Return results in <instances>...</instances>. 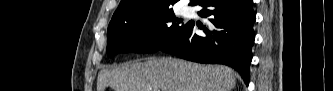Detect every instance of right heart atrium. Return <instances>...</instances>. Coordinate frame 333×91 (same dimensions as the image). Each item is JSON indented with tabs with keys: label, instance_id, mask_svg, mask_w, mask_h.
<instances>
[{
	"label": "right heart atrium",
	"instance_id": "d8ad5b80",
	"mask_svg": "<svg viewBox=\"0 0 333 91\" xmlns=\"http://www.w3.org/2000/svg\"><path fill=\"white\" fill-rule=\"evenodd\" d=\"M157 37L158 30L155 26L147 25L140 29V38L146 43L155 41Z\"/></svg>",
	"mask_w": 333,
	"mask_h": 91
}]
</instances>
